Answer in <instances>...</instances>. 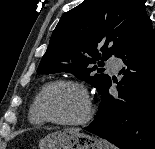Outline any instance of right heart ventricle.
<instances>
[{
    "instance_id": "e07e8e85",
    "label": "right heart ventricle",
    "mask_w": 155,
    "mask_h": 149,
    "mask_svg": "<svg viewBox=\"0 0 155 149\" xmlns=\"http://www.w3.org/2000/svg\"><path fill=\"white\" fill-rule=\"evenodd\" d=\"M36 100H37V96L35 97V99L33 100L29 108V113H28L29 122L34 126H43L47 122L39 115L36 108Z\"/></svg>"
}]
</instances>
